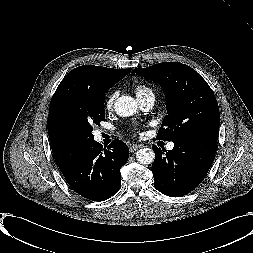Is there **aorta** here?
Listing matches in <instances>:
<instances>
[{
  "mask_svg": "<svg viewBox=\"0 0 253 253\" xmlns=\"http://www.w3.org/2000/svg\"><path fill=\"white\" fill-rule=\"evenodd\" d=\"M115 112L121 117L132 116L137 112V101L131 96H121L114 104ZM136 157L141 164L149 165L155 159V153L151 148H141L137 151Z\"/></svg>",
  "mask_w": 253,
  "mask_h": 253,
  "instance_id": "obj_1",
  "label": "aorta"
}]
</instances>
